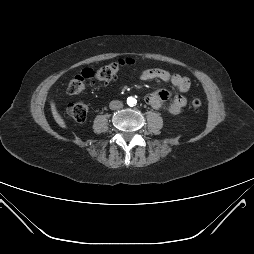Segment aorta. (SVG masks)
<instances>
[{
	"instance_id": "aorta-1",
	"label": "aorta",
	"mask_w": 254,
	"mask_h": 254,
	"mask_svg": "<svg viewBox=\"0 0 254 254\" xmlns=\"http://www.w3.org/2000/svg\"><path fill=\"white\" fill-rule=\"evenodd\" d=\"M137 103L136 99L134 97H128L127 98V104L131 107L135 106Z\"/></svg>"
}]
</instances>
